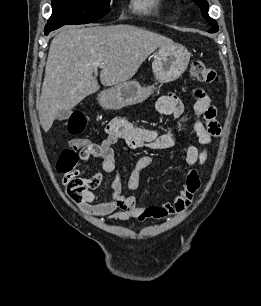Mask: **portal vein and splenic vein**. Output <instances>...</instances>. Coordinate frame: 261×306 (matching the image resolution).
I'll use <instances>...</instances> for the list:
<instances>
[{"label": "portal vein and splenic vein", "mask_w": 261, "mask_h": 306, "mask_svg": "<svg viewBox=\"0 0 261 306\" xmlns=\"http://www.w3.org/2000/svg\"><path fill=\"white\" fill-rule=\"evenodd\" d=\"M96 65L99 66V67H103L104 63H99L98 62Z\"/></svg>", "instance_id": "1"}]
</instances>
